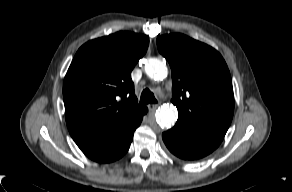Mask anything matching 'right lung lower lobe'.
<instances>
[{"instance_id":"obj_1","label":"right lung lower lobe","mask_w":292,"mask_h":192,"mask_svg":"<svg viewBox=\"0 0 292 192\" xmlns=\"http://www.w3.org/2000/svg\"><path fill=\"white\" fill-rule=\"evenodd\" d=\"M144 114L115 130L101 133H76L71 136L81 151L93 161L113 162L128 151L134 131L139 127Z\"/></svg>"}]
</instances>
